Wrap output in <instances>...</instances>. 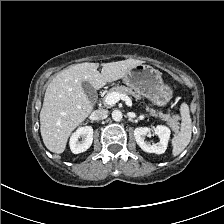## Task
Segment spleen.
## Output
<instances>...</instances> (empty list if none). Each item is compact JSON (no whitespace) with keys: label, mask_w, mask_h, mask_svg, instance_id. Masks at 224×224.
Returning a JSON list of instances; mask_svg holds the SVG:
<instances>
[{"label":"spleen","mask_w":224,"mask_h":224,"mask_svg":"<svg viewBox=\"0 0 224 224\" xmlns=\"http://www.w3.org/2000/svg\"><path fill=\"white\" fill-rule=\"evenodd\" d=\"M181 127L177 135L172 139V154L179 155L189 144L192 135V120L190 118L189 106L182 103L180 106Z\"/></svg>","instance_id":"1"}]
</instances>
